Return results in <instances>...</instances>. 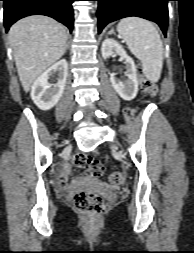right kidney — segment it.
Here are the masks:
<instances>
[{
	"label": "right kidney",
	"instance_id": "ca27d5eb",
	"mask_svg": "<svg viewBox=\"0 0 194 253\" xmlns=\"http://www.w3.org/2000/svg\"><path fill=\"white\" fill-rule=\"evenodd\" d=\"M57 73V83H49V79ZM68 75V63L62 59L48 68L33 83L31 98L36 106L44 111L53 108L61 98Z\"/></svg>",
	"mask_w": 194,
	"mask_h": 253
}]
</instances>
